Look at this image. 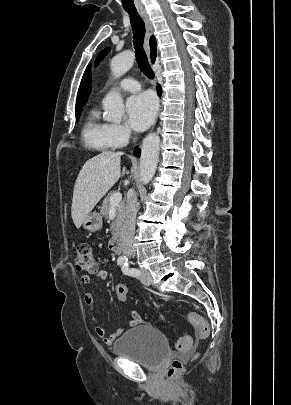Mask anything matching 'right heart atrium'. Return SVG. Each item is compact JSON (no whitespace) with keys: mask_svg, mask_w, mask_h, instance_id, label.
I'll list each match as a JSON object with an SVG mask.
<instances>
[{"mask_svg":"<svg viewBox=\"0 0 291 405\" xmlns=\"http://www.w3.org/2000/svg\"><path fill=\"white\" fill-rule=\"evenodd\" d=\"M109 134L114 146L121 147L129 141L131 130L125 124H110Z\"/></svg>","mask_w":291,"mask_h":405,"instance_id":"obj_1","label":"right heart atrium"}]
</instances>
